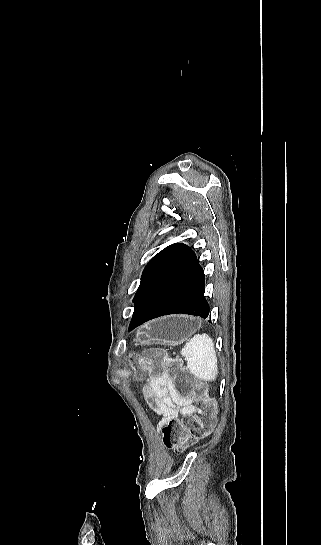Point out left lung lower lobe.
Returning <instances> with one entry per match:
<instances>
[{"instance_id":"left-lung-lower-lobe-1","label":"left lung lower lobe","mask_w":321,"mask_h":545,"mask_svg":"<svg viewBox=\"0 0 321 545\" xmlns=\"http://www.w3.org/2000/svg\"><path fill=\"white\" fill-rule=\"evenodd\" d=\"M204 285V271L195 253L187 245L176 243L136 299L129 330L167 314L208 317Z\"/></svg>"}]
</instances>
